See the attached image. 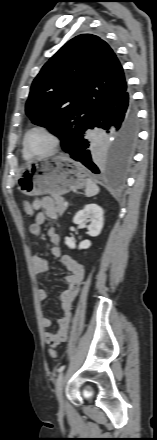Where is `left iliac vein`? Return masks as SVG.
Segmentation results:
<instances>
[{
  "label": "left iliac vein",
  "instance_id": "obj_1",
  "mask_svg": "<svg viewBox=\"0 0 157 440\" xmlns=\"http://www.w3.org/2000/svg\"><path fill=\"white\" fill-rule=\"evenodd\" d=\"M63 386H64V375L63 373H61L56 380L55 389H56L57 400L62 408L64 407Z\"/></svg>",
  "mask_w": 157,
  "mask_h": 440
}]
</instances>
